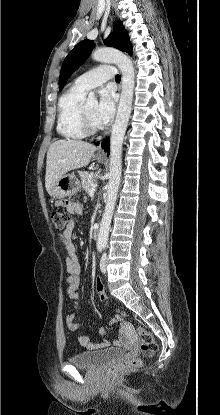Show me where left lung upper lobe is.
<instances>
[{
	"mask_svg": "<svg viewBox=\"0 0 220 415\" xmlns=\"http://www.w3.org/2000/svg\"><path fill=\"white\" fill-rule=\"evenodd\" d=\"M104 43L107 46H112L118 50L132 54V45L129 35L121 21H117L114 24L113 33L108 36ZM94 46V41L85 39L79 42L67 55L60 72L59 89H62L65 86L67 79L71 76V74L85 62L91 54Z\"/></svg>",
	"mask_w": 220,
	"mask_h": 415,
	"instance_id": "obj_1",
	"label": "left lung upper lobe"
}]
</instances>
